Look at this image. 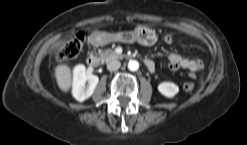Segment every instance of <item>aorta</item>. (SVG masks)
Instances as JSON below:
<instances>
[{
	"label": "aorta",
	"instance_id": "762f6f07",
	"mask_svg": "<svg viewBox=\"0 0 247 145\" xmlns=\"http://www.w3.org/2000/svg\"><path fill=\"white\" fill-rule=\"evenodd\" d=\"M139 68V63L136 60H130L128 63V69L130 71H136Z\"/></svg>",
	"mask_w": 247,
	"mask_h": 145
}]
</instances>
